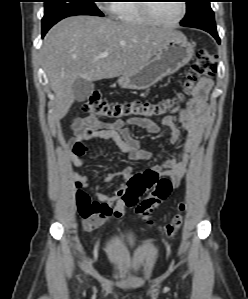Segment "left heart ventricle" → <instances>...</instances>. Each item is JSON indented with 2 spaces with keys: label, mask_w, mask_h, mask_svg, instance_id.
<instances>
[{
  "label": "left heart ventricle",
  "mask_w": 248,
  "mask_h": 299,
  "mask_svg": "<svg viewBox=\"0 0 248 299\" xmlns=\"http://www.w3.org/2000/svg\"><path fill=\"white\" fill-rule=\"evenodd\" d=\"M153 13L164 22L176 20L181 13V4L179 0L163 1L153 4Z\"/></svg>",
  "instance_id": "1"
}]
</instances>
